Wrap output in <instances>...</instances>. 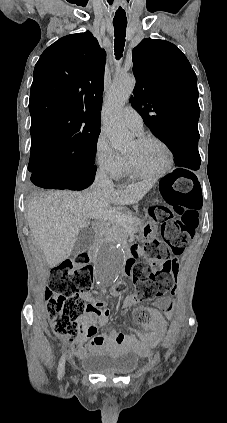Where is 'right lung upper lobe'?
I'll return each mask as SVG.
<instances>
[{
    "label": "right lung upper lobe",
    "mask_w": 227,
    "mask_h": 423,
    "mask_svg": "<svg viewBox=\"0 0 227 423\" xmlns=\"http://www.w3.org/2000/svg\"><path fill=\"white\" fill-rule=\"evenodd\" d=\"M105 51L86 31L62 37L35 65L31 152L68 148L100 132Z\"/></svg>",
    "instance_id": "cb5924a9"
}]
</instances>
